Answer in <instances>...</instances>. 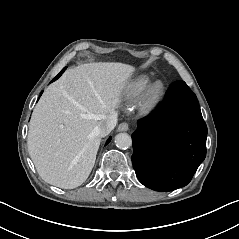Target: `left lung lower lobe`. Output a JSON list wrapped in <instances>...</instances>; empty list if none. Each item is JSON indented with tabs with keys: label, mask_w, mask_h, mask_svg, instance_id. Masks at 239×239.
<instances>
[{
	"label": "left lung lower lobe",
	"mask_w": 239,
	"mask_h": 239,
	"mask_svg": "<svg viewBox=\"0 0 239 239\" xmlns=\"http://www.w3.org/2000/svg\"><path fill=\"white\" fill-rule=\"evenodd\" d=\"M132 134V163L139 181L156 191L187 185L206 157L207 126L196 95L178 80L167 100Z\"/></svg>",
	"instance_id": "1"
}]
</instances>
